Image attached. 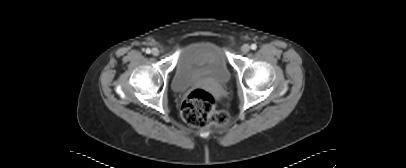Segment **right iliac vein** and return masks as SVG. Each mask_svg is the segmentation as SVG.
Segmentation results:
<instances>
[{"label":"right iliac vein","mask_w":406,"mask_h":168,"mask_svg":"<svg viewBox=\"0 0 406 168\" xmlns=\"http://www.w3.org/2000/svg\"><path fill=\"white\" fill-rule=\"evenodd\" d=\"M151 53H152L154 56H158L159 53H160V51H159L158 48H153L152 51H151Z\"/></svg>","instance_id":"1"}]
</instances>
